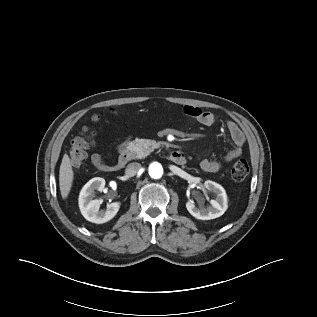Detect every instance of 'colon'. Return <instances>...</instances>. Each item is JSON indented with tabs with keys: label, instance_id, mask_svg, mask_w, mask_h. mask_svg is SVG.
<instances>
[{
	"label": "colon",
	"instance_id": "1",
	"mask_svg": "<svg viewBox=\"0 0 317 317\" xmlns=\"http://www.w3.org/2000/svg\"><path fill=\"white\" fill-rule=\"evenodd\" d=\"M101 121L100 115H95L92 118L94 124H99ZM94 133L93 129H85L81 136L75 137L71 141L69 150L70 163L73 167L82 165L87 156V148L90 142V135ZM249 174V165L246 160L241 159L236 161L231 167V177L235 181L244 180Z\"/></svg>",
	"mask_w": 317,
	"mask_h": 317
}]
</instances>
